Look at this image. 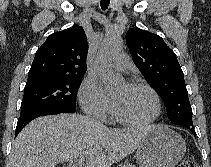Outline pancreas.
Here are the masks:
<instances>
[{
	"mask_svg": "<svg viewBox=\"0 0 211 167\" xmlns=\"http://www.w3.org/2000/svg\"><path fill=\"white\" fill-rule=\"evenodd\" d=\"M121 167H136L135 165H132L128 162H125L124 164L121 165Z\"/></svg>",
	"mask_w": 211,
	"mask_h": 167,
	"instance_id": "cf45deb5",
	"label": "pancreas"
}]
</instances>
